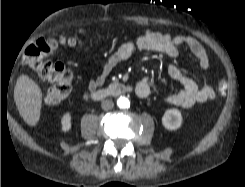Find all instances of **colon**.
Returning a JSON list of instances; mask_svg holds the SVG:
<instances>
[{
  "mask_svg": "<svg viewBox=\"0 0 245 187\" xmlns=\"http://www.w3.org/2000/svg\"><path fill=\"white\" fill-rule=\"evenodd\" d=\"M85 36L84 31L70 33L62 37L47 36L30 44L24 52L23 65L34 71L42 82L52 84L44 94L43 100L46 105H56L64 101L71 93L74 74L70 68L60 62L47 59L61 45L79 44ZM228 84L220 81L217 90L225 94Z\"/></svg>",
  "mask_w": 245,
  "mask_h": 187,
  "instance_id": "5ec220e1",
  "label": "colon"
}]
</instances>
